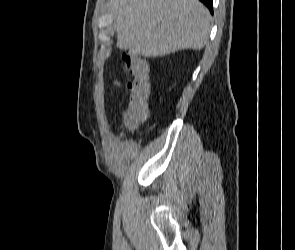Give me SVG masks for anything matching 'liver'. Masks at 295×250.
<instances>
[{
    "label": "liver",
    "instance_id": "liver-1",
    "mask_svg": "<svg viewBox=\"0 0 295 250\" xmlns=\"http://www.w3.org/2000/svg\"><path fill=\"white\" fill-rule=\"evenodd\" d=\"M117 46L143 57L202 49L211 15L198 0H111Z\"/></svg>",
    "mask_w": 295,
    "mask_h": 250
}]
</instances>
